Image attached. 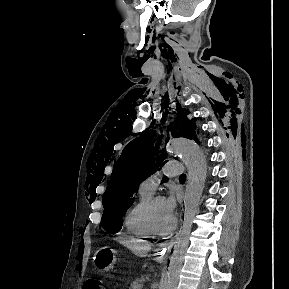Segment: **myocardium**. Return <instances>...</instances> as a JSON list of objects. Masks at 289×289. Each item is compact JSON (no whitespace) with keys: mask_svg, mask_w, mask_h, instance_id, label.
<instances>
[{"mask_svg":"<svg viewBox=\"0 0 289 289\" xmlns=\"http://www.w3.org/2000/svg\"><path fill=\"white\" fill-rule=\"evenodd\" d=\"M160 199H164V197L160 194H155L152 195L151 198L148 200V202L146 203V206L144 208V213H143V220L145 222V225L147 227V229L149 230V232L152 235L155 236H164V235H168L170 234L176 227V220L173 218L171 225L164 229H158L153 221V217H152V212H153V206L155 204L156 201L160 200Z\"/></svg>","mask_w":289,"mask_h":289,"instance_id":"f54148a6","label":"myocardium"}]
</instances>
